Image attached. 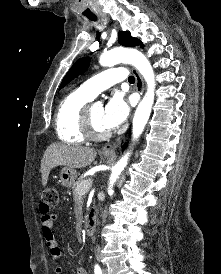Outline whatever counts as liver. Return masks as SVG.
<instances>
[{
  "instance_id": "6515ba94",
  "label": "liver",
  "mask_w": 221,
  "mask_h": 274,
  "mask_svg": "<svg viewBox=\"0 0 221 274\" xmlns=\"http://www.w3.org/2000/svg\"><path fill=\"white\" fill-rule=\"evenodd\" d=\"M96 154V151L91 148L51 144L41 161L42 185L44 187L47 185L49 173L54 167L85 168L94 161Z\"/></svg>"
}]
</instances>
